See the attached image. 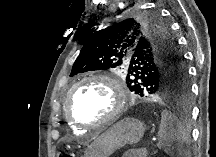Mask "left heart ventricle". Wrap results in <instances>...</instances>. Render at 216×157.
<instances>
[{"label": "left heart ventricle", "mask_w": 216, "mask_h": 157, "mask_svg": "<svg viewBox=\"0 0 216 157\" xmlns=\"http://www.w3.org/2000/svg\"><path fill=\"white\" fill-rule=\"evenodd\" d=\"M113 106V94L99 82L85 83L72 93L71 111L82 122H93L107 115Z\"/></svg>", "instance_id": "left-heart-ventricle-1"}]
</instances>
